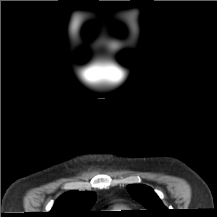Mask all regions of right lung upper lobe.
Returning <instances> with one entry per match:
<instances>
[{
    "instance_id": "obj_1",
    "label": "right lung upper lobe",
    "mask_w": 217,
    "mask_h": 217,
    "mask_svg": "<svg viewBox=\"0 0 217 217\" xmlns=\"http://www.w3.org/2000/svg\"><path fill=\"white\" fill-rule=\"evenodd\" d=\"M95 202V194L92 192H67L55 202L48 217H92L93 211H89Z\"/></svg>"
}]
</instances>
